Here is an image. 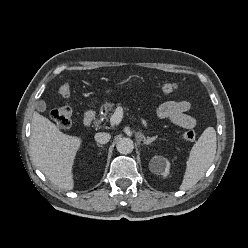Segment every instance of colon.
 Here are the masks:
<instances>
[{
  "label": "colon",
  "instance_id": "obj_1",
  "mask_svg": "<svg viewBox=\"0 0 248 248\" xmlns=\"http://www.w3.org/2000/svg\"><path fill=\"white\" fill-rule=\"evenodd\" d=\"M163 94L169 95L178 89V85L174 82L163 83L160 87ZM59 94L62 98L68 99L71 94V89L68 84H64L59 88ZM73 111L70 105H63L51 113V118L56 126L60 129H68L72 124ZM187 141H194L196 132L193 129H188L183 134Z\"/></svg>",
  "mask_w": 248,
  "mask_h": 248
}]
</instances>
